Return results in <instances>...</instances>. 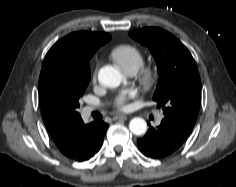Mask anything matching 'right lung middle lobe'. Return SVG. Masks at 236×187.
<instances>
[{"instance_id": "1", "label": "right lung middle lobe", "mask_w": 236, "mask_h": 187, "mask_svg": "<svg viewBox=\"0 0 236 187\" xmlns=\"http://www.w3.org/2000/svg\"><path fill=\"white\" fill-rule=\"evenodd\" d=\"M91 57L84 68L58 60L42 68L38 84L42 108L70 117H80L77 108L90 82Z\"/></svg>"}]
</instances>
